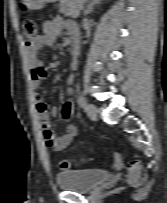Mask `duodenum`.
Masks as SVG:
<instances>
[{"label": "duodenum", "mask_w": 167, "mask_h": 203, "mask_svg": "<svg viewBox=\"0 0 167 203\" xmlns=\"http://www.w3.org/2000/svg\"><path fill=\"white\" fill-rule=\"evenodd\" d=\"M79 54V43L77 39L72 42L70 55L72 58H76Z\"/></svg>", "instance_id": "1"}]
</instances>
